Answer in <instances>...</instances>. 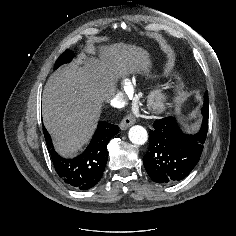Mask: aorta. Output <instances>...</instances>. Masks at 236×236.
Listing matches in <instances>:
<instances>
[{
  "instance_id": "obj_1",
  "label": "aorta",
  "mask_w": 236,
  "mask_h": 236,
  "mask_svg": "<svg viewBox=\"0 0 236 236\" xmlns=\"http://www.w3.org/2000/svg\"><path fill=\"white\" fill-rule=\"evenodd\" d=\"M128 137L133 144L143 145L148 140V133L144 127L135 125L129 129Z\"/></svg>"
}]
</instances>
